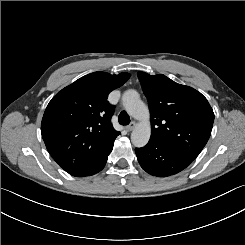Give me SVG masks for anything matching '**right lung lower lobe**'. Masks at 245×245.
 <instances>
[{
  "label": "right lung lower lobe",
  "instance_id": "obj_1",
  "mask_svg": "<svg viewBox=\"0 0 245 245\" xmlns=\"http://www.w3.org/2000/svg\"><path fill=\"white\" fill-rule=\"evenodd\" d=\"M107 157H105L104 159H102L100 162H98L97 164H95L89 171L85 172L84 174L80 175V176H77V177H81V176H91L95 173H98L99 171H101L106 162H107Z\"/></svg>",
  "mask_w": 245,
  "mask_h": 245
}]
</instances>
